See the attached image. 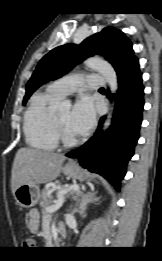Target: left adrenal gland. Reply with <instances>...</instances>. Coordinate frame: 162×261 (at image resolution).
Here are the masks:
<instances>
[{"mask_svg": "<svg viewBox=\"0 0 162 261\" xmlns=\"http://www.w3.org/2000/svg\"><path fill=\"white\" fill-rule=\"evenodd\" d=\"M96 194L97 192H93L91 194H86V195H82V199H81V214L84 213L85 209H86V205L93 201L94 199H96Z\"/></svg>", "mask_w": 162, "mask_h": 261, "instance_id": "a2214340", "label": "left adrenal gland"}]
</instances>
